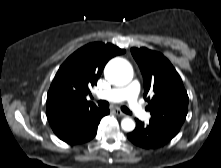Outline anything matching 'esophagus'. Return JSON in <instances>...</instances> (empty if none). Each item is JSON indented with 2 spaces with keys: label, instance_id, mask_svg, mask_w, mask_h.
I'll list each match as a JSON object with an SVG mask.
<instances>
[{
  "label": "esophagus",
  "instance_id": "1",
  "mask_svg": "<svg viewBox=\"0 0 221 168\" xmlns=\"http://www.w3.org/2000/svg\"><path fill=\"white\" fill-rule=\"evenodd\" d=\"M115 114L117 115V116H119V117H124V116H126V114L125 113H123L121 110H119V109H115Z\"/></svg>",
  "mask_w": 221,
  "mask_h": 168
}]
</instances>
